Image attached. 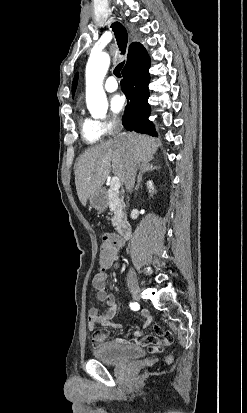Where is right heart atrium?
<instances>
[{
    "label": "right heart atrium",
    "mask_w": 247,
    "mask_h": 413,
    "mask_svg": "<svg viewBox=\"0 0 247 413\" xmlns=\"http://www.w3.org/2000/svg\"><path fill=\"white\" fill-rule=\"evenodd\" d=\"M93 126L97 133L112 134L114 131V124L110 122H102L100 119L93 121Z\"/></svg>",
    "instance_id": "1"
}]
</instances>
